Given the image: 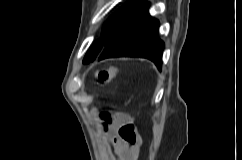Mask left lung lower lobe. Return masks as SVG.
<instances>
[{
	"instance_id": "0a47b994",
	"label": "left lung lower lobe",
	"mask_w": 242,
	"mask_h": 160,
	"mask_svg": "<svg viewBox=\"0 0 242 160\" xmlns=\"http://www.w3.org/2000/svg\"><path fill=\"white\" fill-rule=\"evenodd\" d=\"M159 22L148 9L131 25L112 38L98 55V60L110 57H142L153 61L161 69L164 42L157 37Z\"/></svg>"
}]
</instances>
